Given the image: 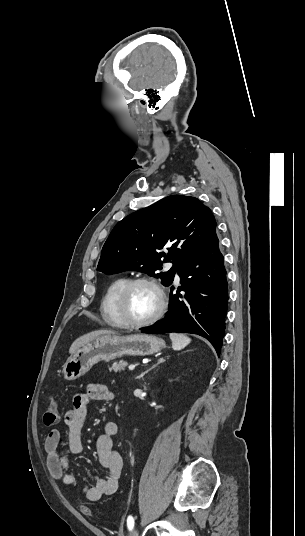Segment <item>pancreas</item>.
Masks as SVG:
<instances>
[{
	"label": "pancreas",
	"mask_w": 305,
	"mask_h": 536,
	"mask_svg": "<svg viewBox=\"0 0 305 536\" xmlns=\"http://www.w3.org/2000/svg\"><path fill=\"white\" fill-rule=\"evenodd\" d=\"M126 366H127V362H114V364H112L109 370L110 372L111 370H114V372H122V370H125Z\"/></svg>",
	"instance_id": "pancreas-1"
}]
</instances>
